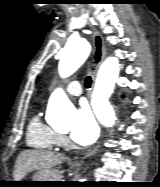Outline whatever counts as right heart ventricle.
Masks as SVG:
<instances>
[{"instance_id": "1", "label": "right heart ventricle", "mask_w": 160, "mask_h": 187, "mask_svg": "<svg viewBox=\"0 0 160 187\" xmlns=\"http://www.w3.org/2000/svg\"><path fill=\"white\" fill-rule=\"evenodd\" d=\"M26 142L31 148L53 151L59 146V135L39 116H34L27 128Z\"/></svg>"}]
</instances>
